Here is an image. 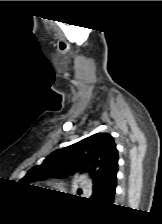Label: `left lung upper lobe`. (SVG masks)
Listing matches in <instances>:
<instances>
[{
    "mask_svg": "<svg viewBox=\"0 0 162 224\" xmlns=\"http://www.w3.org/2000/svg\"><path fill=\"white\" fill-rule=\"evenodd\" d=\"M118 159L113 137L107 133H97L52 152L41 165L31 168L21 182L25 184L84 171L93 176L95 187L101 185L109 175L118 170Z\"/></svg>",
    "mask_w": 162,
    "mask_h": 224,
    "instance_id": "left-lung-upper-lobe-1",
    "label": "left lung upper lobe"
}]
</instances>
